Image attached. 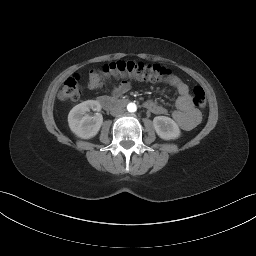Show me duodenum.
Wrapping results in <instances>:
<instances>
[{
	"instance_id": "duodenum-1",
	"label": "duodenum",
	"mask_w": 256,
	"mask_h": 256,
	"mask_svg": "<svg viewBox=\"0 0 256 256\" xmlns=\"http://www.w3.org/2000/svg\"><path fill=\"white\" fill-rule=\"evenodd\" d=\"M99 103L106 110H114L116 108H121L126 106L130 100L129 99H118L112 96H102L99 98Z\"/></svg>"
}]
</instances>
